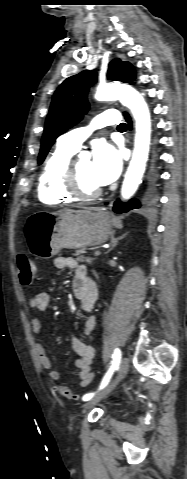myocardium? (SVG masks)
<instances>
[{"label":"myocardium","mask_w":187,"mask_h":479,"mask_svg":"<svg viewBox=\"0 0 187 479\" xmlns=\"http://www.w3.org/2000/svg\"><path fill=\"white\" fill-rule=\"evenodd\" d=\"M63 187L65 191L70 194L74 199L81 201H90L98 198L102 189L99 187L93 191H85L80 183L77 159H71L68 163L63 177Z\"/></svg>","instance_id":"myocardium-1"}]
</instances>
